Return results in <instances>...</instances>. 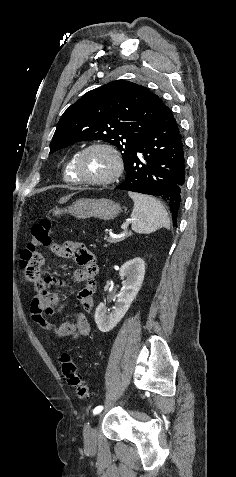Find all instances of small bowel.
<instances>
[{
  "mask_svg": "<svg viewBox=\"0 0 236 477\" xmlns=\"http://www.w3.org/2000/svg\"><path fill=\"white\" fill-rule=\"evenodd\" d=\"M52 251L61 258H74L77 268L74 279L82 287L74 296L77 306L87 312L93 309V295L96 291V282L93 277L97 270L96 258L83 244L75 241H66L62 244H53ZM40 289L30 304V312L34 322L44 331L59 338H72L87 336L90 333V324L81 311H75L71 318L60 325H55L47 319L57 309L64 306L62 287L49 291V282L41 280Z\"/></svg>",
  "mask_w": 236,
  "mask_h": 477,
  "instance_id": "c3829d8e",
  "label": "small bowel"
}]
</instances>
